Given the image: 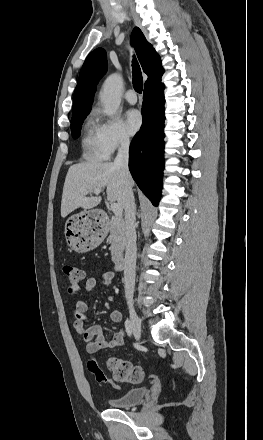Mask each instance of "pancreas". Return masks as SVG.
I'll return each mask as SVG.
<instances>
[{
	"label": "pancreas",
	"mask_w": 263,
	"mask_h": 440,
	"mask_svg": "<svg viewBox=\"0 0 263 440\" xmlns=\"http://www.w3.org/2000/svg\"><path fill=\"white\" fill-rule=\"evenodd\" d=\"M110 235L108 242L111 244L112 261L117 263L121 257L124 249L125 238V223L123 218L114 217L110 221Z\"/></svg>",
	"instance_id": "1"
}]
</instances>
